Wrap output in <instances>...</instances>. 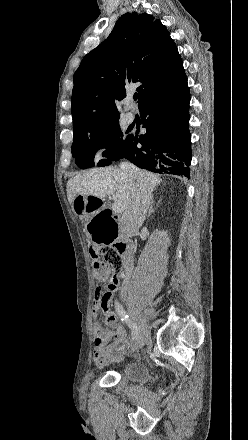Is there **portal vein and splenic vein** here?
<instances>
[{
    "instance_id": "1",
    "label": "portal vein and splenic vein",
    "mask_w": 248,
    "mask_h": 440,
    "mask_svg": "<svg viewBox=\"0 0 248 440\" xmlns=\"http://www.w3.org/2000/svg\"><path fill=\"white\" fill-rule=\"evenodd\" d=\"M112 209H113L115 212H122V211L124 210V208H123V206L121 205V203H118V202L113 203V205H112Z\"/></svg>"
}]
</instances>
